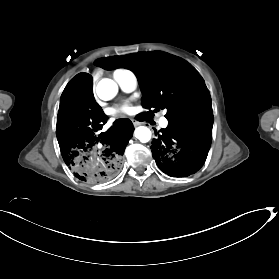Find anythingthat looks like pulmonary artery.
I'll use <instances>...</instances> for the list:
<instances>
[{"mask_svg":"<svg viewBox=\"0 0 279 279\" xmlns=\"http://www.w3.org/2000/svg\"><path fill=\"white\" fill-rule=\"evenodd\" d=\"M113 78L124 93H130L134 91L137 86V79L134 74H126L121 70H116L113 72Z\"/></svg>","mask_w":279,"mask_h":279,"instance_id":"pulmonary-artery-1","label":"pulmonary artery"}]
</instances>
